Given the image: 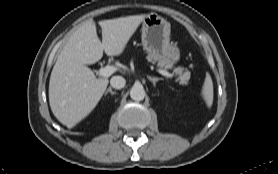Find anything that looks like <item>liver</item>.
Wrapping results in <instances>:
<instances>
[{
  "label": "liver",
  "mask_w": 278,
  "mask_h": 174,
  "mask_svg": "<svg viewBox=\"0 0 278 174\" xmlns=\"http://www.w3.org/2000/svg\"><path fill=\"white\" fill-rule=\"evenodd\" d=\"M146 15H131L99 21L102 42L93 20H87L69 37L52 69L49 104L52 113L67 128H73L96 107L109 83L96 78L86 65L98 62L103 51L120 55Z\"/></svg>",
  "instance_id": "6515ba94"
}]
</instances>
